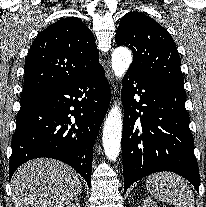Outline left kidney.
Here are the masks:
<instances>
[{
    "label": "left kidney",
    "mask_w": 206,
    "mask_h": 207,
    "mask_svg": "<svg viewBox=\"0 0 206 207\" xmlns=\"http://www.w3.org/2000/svg\"><path fill=\"white\" fill-rule=\"evenodd\" d=\"M142 207H159V206L152 199L146 198L143 201Z\"/></svg>",
    "instance_id": "5707ae66"
}]
</instances>
